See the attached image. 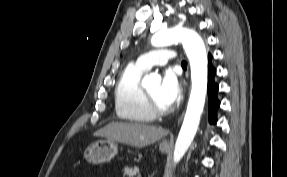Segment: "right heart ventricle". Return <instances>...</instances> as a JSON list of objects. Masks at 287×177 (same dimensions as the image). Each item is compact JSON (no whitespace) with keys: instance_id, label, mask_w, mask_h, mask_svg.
I'll return each instance as SVG.
<instances>
[{"instance_id":"right-heart-ventricle-1","label":"right heart ventricle","mask_w":287,"mask_h":177,"mask_svg":"<svg viewBox=\"0 0 287 177\" xmlns=\"http://www.w3.org/2000/svg\"><path fill=\"white\" fill-rule=\"evenodd\" d=\"M146 70L138 65L127 66L114 90L115 112L119 120L129 123L151 122L154 115L148 109L141 81Z\"/></svg>"}]
</instances>
